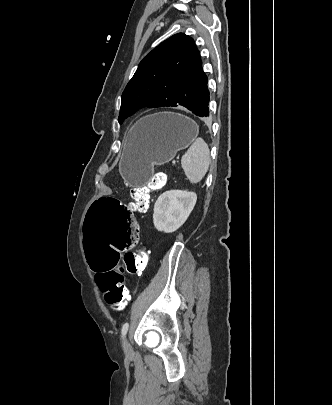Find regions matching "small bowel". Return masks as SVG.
<instances>
[{"mask_svg":"<svg viewBox=\"0 0 332 405\" xmlns=\"http://www.w3.org/2000/svg\"><path fill=\"white\" fill-rule=\"evenodd\" d=\"M135 220L137 221V219H136V218H135ZM137 227H139L138 221H137ZM135 244H137V243H135Z\"/></svg>","mask_w":332,"mask_h":405,"instance_id":"c3829d8e","label":"small bowel"}]
</instances>
